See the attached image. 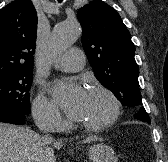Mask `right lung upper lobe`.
<instances>
[{"label":"right lung upper lobe","mask_w":168,"mask_h":162,"mask_svg":"<svg viewBox=\"0 0 168 162\" xmlns=\"http://www.w3.org/2000/svg\"><path fill=\"white\" fill-rule=\"evenodd\" d=\"M37 21L30 0H15L0 11V76L32 71Z\"/></svg>","instance_id":"obj_1"}]
</instances>
